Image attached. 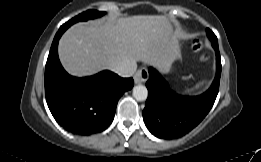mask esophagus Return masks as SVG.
Instances as JSON below:
<instances>
[{
  "instance_id": "obj_1",
  "label": "esophagus",
  "mask_w": 261,
  "mask_h": 162,
  "mask_svg": "<svg viewBox=\"0 0 261 162\" xmlns=\"http://www.w3.org/2000/svg\"><path fill=\"white\" fill-rule=\"evenodd\" d=\"M149 74L146 69H139L134 75V81L136 84L144 83L148 80Z\"/></svg>"
}]
</instances>
